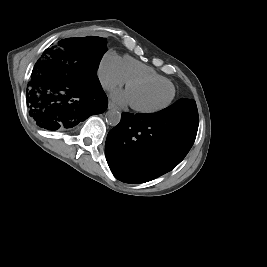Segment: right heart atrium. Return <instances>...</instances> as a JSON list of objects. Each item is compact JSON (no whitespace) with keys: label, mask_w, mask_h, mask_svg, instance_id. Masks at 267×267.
I'll list each match as a JSON object with an SVG mask.
<instances>
[{"label":"right heart atrium","mask_w":267,"mask_h":267,"mask_svg":"<svg viewBox=\"0 0 267 267\" xmlns=\"http://www.w3.org/2000/svg\"><path fill=\"white\" fill-rule=\"evenodd\" d=\"M98 78L106 90L121 86L126 82L123 74L121 59L114 52H107L98 66Z\"/></svg>","instance_id":"right-heart-atrium-1"}]
</instances>
